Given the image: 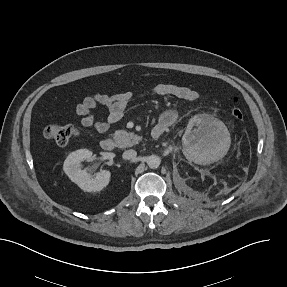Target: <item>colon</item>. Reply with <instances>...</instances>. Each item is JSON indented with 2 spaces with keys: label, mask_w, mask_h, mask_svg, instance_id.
I'll return each instance as SVG.
<instances>
[{
  "label": "colon",
  "mask_w": 287,
  "mask_h": 287,
  "mask_svg": "<svg viewBox=\"0 0 287 287\" xmlns=\"http://www.w3.org/2000/svg\"><path fill=\"white\" fill-rule=\"evenodd\" d=\"M230 113L234 119L243 120L244 110L238 97L232 99ZM77 136L78 129L73 125L50 124L44 129V137L60 146L68 144Z\"/></svg>",
  "instance_id": "obj_1"
}]
</instances>
